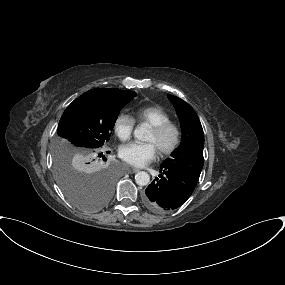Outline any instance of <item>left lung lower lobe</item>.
Masks as SVG:
<instances>
[{
    "instance_id": "0a47b994",
    "label": "left lung lower lobe",
    "mask_w": 285,
    "mask_h": 285,
    "mask_svg": "<svg viewBox=\"0 0 285 285\" xmlns=\"http://www.w3.org/2000/svg\"><path fill=\"white\" fill-rule=\"evenodd\" d=\"M159 175L145 190V205L156 212H167L180 207L193 193L198 180L185 172L160 166Z\"/></svg>"
}]
</instances>
